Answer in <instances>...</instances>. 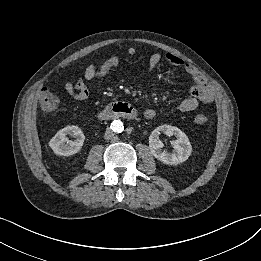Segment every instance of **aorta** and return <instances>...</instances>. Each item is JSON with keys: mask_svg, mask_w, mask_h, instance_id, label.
Segmentation results:
<instances>
[{"mask_svg": "<svg viewBox=\"0 0 261 261\" xmlns=\"http://www.w3.org/2000/svg\"><path fill=\"white\" fill-rule=\"evenodd\" d=\"M111 129L116 132V133H121L124 130V125L123 122L121 120H114L111 123Z\"/></svg>", "mask_w": 261, "mask_h": 261, "instance_id": "obj_1", "label": "aorta"}]
</instances>
